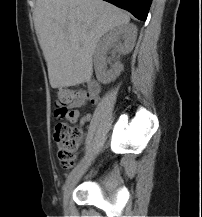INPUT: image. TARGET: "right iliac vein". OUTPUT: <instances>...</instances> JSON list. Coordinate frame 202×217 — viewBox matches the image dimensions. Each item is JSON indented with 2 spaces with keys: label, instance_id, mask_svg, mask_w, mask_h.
<instances>
[{
  "label": "right iliac vein",
  "instance_id": "right-iliac-vein-1",
  "mask_svg": "<svg viewBox=\"0 0 202 217\" xmlns=\"http://www.w3.org/2000/svg\"><path fill=\"white\" fill-rule=\"evenodd\" d=\"M82 172V170L77 174L75 175L72 180L69 182V184L67 185L66 189H65V192H64V199H63V206L64 208L66 209L67 206H68V200H69V197H70V194H71V191L73 189V187L75 186L78 178H79V174Z\"/></svg>",
  "mask_w": 202,
  "mask_h": 217
}]
</instances>
